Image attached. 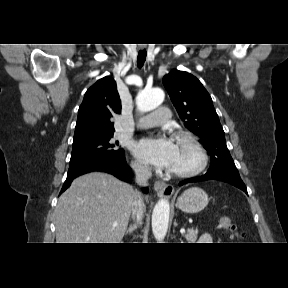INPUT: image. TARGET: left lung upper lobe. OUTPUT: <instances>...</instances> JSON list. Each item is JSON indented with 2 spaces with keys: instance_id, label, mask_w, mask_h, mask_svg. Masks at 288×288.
<instances>
[{
  "instance_id": "1",
  "label": "left lung upper lobe",
  "mask_w": 288,
  "mask_h": 288,
  "mask_svg": "<svg viewBox=\"0 0 288 288\" xmlns=\"http://www.w3.org/2000/svg\"><path fill=\"white\" fill-rule=\"evenodd\" d=\"M163 84L184 125L201 138L210 155L211 165L206 174L240 178L212 99L202 83L190 73L172 70L164 76Z\"/></svg>"
}]
</instances>
